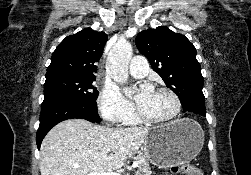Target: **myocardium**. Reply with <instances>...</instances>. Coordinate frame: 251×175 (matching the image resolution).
<instances>
[{
	"instance_id": "myocardium-1",
	"label": "myocardium",
	"mask_w": 251,
	"mask_h": 175,
	"mask_svg": "<svg viewBox=\"0 0 251 175\" xmlns=\"http://www.w3.org/2000/svg\"><path fill=\"white\" fill-rule=\"evenodd\" d=\"M155 90L168 92L172 96V98L176 104V113L168 119H159L156 117L146 115L139 110L138 113H139L140 118L144 119L150 123H154V124H158V125H170V124H174V123L178 122L181 119V117L183 116V111H184L183 102H182V99H181V96L179 95V93L175 89H173L169 86H160V87H157Z\"/></svg>"
}]
</instances>
